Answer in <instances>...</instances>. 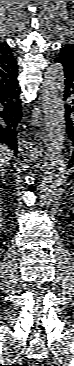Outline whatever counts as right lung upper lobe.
Segmentation results:
<instances>
[{
    "label": "right lung upper lobe",
    "instance_id": "right-lung-upper-lobe-1",
    "mask_svg": "<svg viewBox=\"0 0 74 366\" xmlns=\"http://www.w3.org/2000/svg\"><path fill=\"white\" fill-rule=\"evenodd\" d=\"M17 63L7 43L0 42V86L17 80Z\"/></svg>",
    "mask_w": 74,
    "mask_h": 366
}]
</instances>
